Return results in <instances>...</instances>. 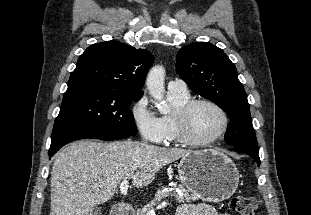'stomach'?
Returning <instances> with one entry per match:
<instances>
[{
    "instance_id": "obj_1",
    "label": "stomach",
    "mask_w": 311,
    "mask_h": 215,
    "mask_svg": "<svg viewBox=\"0 0 311 215\" xmlns=\"http://www.w3.org/2000/svg\"><path fill=\"white\" fill-rule=\"evenodd\" d=\"M178 171L186 189L207 202L230 198L239 184L236 165L228 156L214 149L191 152L181 159Z\"/></svg>"
}]
</instances>
